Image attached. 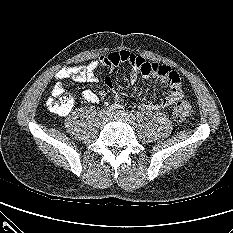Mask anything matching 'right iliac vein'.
<instances>
[{
    "mask_svg": "<svg viewBox=\"0 0 233 233\" xmlns=\"http://www.w3.org/2000/svg\"><path fill=\"white\" fill-rule=\"evenodd\" d=\"M111 118H112V115H111V113H109L108 111H103V112L100 114V119H101V123H102V124L107 123Z\"/></svg>",
    "mask_w": 233,
    "mask_h": 233,
    "instance_id": "obj_1",
    "label": "right iliac vein"
}]
</instances>
